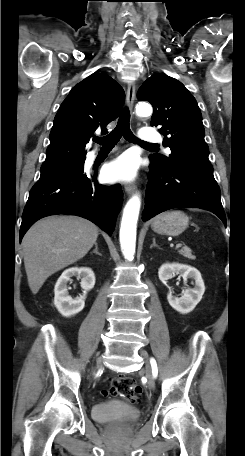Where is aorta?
<instances>
[{"instance_id":"obj_1","label":"aorta","mask_w":245,"mask_h":456,"mask_svg":"<svg viewBox=\"0 0 245 456\" xmlns=\"http://www.w3.org/2000/svg\"><path fill=\"white\" fill-rule=\"evenodd\" d=\"M138 116H150L152 114V106L149 103H139L136 107ZM141 206V199L138 194H135L127 202L122 216L120 227V245L122 253L127 260H132L135 254L136 247V231L137 221Z\"/></svg>"}]
</instances>
